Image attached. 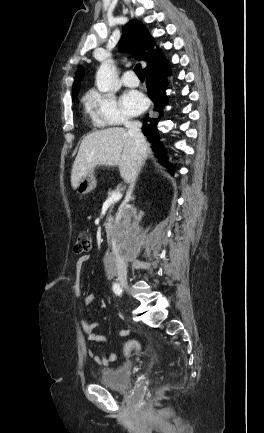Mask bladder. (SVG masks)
<instances>
[{
  "mask_svg": "<svg viewBox=\"0 0 264 433\" xmlns=\"http://www.w3.org/2000/svg\"><path fill=\"white\" fill-rule=\"evenodd\" d=\"M132 368L131 363H125L117 368H104L100 371L99 382L113 390H128L131 386Z\"/></svg>",
  "mask_w": 264,
  "mask_h": 433,
  "instance_id": "obj_1",
  "label": "bladder"
}]
</instances>
